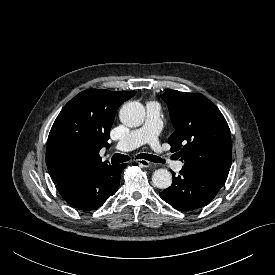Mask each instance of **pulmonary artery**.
I'll use <instances>...</instances> for the list:
<instances>
[{
	"mask_svg": "<svg viewBox=\"0 0 275 275\" xmlns=\"http://www.w3.org/2000/svg\"><path fill=\"white\" fill-rule=\"evenodd\" d=\"M146 120L145 123L132 131H130L123 139H121L115 146L119 151H130L143 144H148L156 151H161L158 141V134L161 129V107L160 104L151 101L146 104ZM171 167L179 172L182 170V161H168Z\"/></svg>",
	"mask_w": 275,
	"mask_h": 275,
	"instance_id": "obj_1",
	"label": "pulmonary artery"
}]
</instances>
